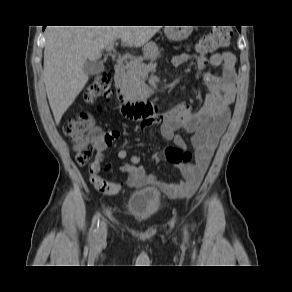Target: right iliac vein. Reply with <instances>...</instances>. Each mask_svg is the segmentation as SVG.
I'll return each instance as SVG.
<instances>
[{
	"mask_svg": "<svg viewBox=\"0 0 292 292\" xmlns=\"http://www.w3.org/2000/svg\"><path fill=\"white\" fill-rule=\"evenodd\" d=\"M106 234H107V225H106V222L103 221L101 223L100 230L97 234V240L103 241L106 238Z\"/></svg>",
	"mask_w": 292,
	"mask_h": 292,
	"instance_id": "obj_1",
	"label": "right iliac vein"
}]
</instances>
